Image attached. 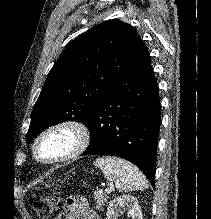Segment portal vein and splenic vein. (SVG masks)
<instances>
[{"label":"portal vein and splenic vein","mask_w":211,"mask_h":219,"mask_svg":"<svg viewBox=\"0 0 211 219\" xmlns=\"http://www.w3.org/2000/svg\"><path fill=\"white\" fill-rule=\"evenodd\" d=\"M100 192L102 193L103 191H100ZM105 192H106V193H111V192H112V188H106V189H105Z\"/></svg>","instance_id":"18ae733b"}]
</instances>
